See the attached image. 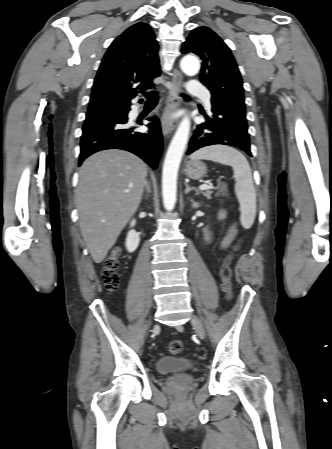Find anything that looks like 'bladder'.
Masks as SVG:
<instances>
[{
  "instance_id": "31cf9c89",
  "label": "bladder",
  "mask_w": 332,
  "mask_h": 449,
  "mask_svg": "<svg viewBox=\"0 0 332 449\" xmlns=\"http://www.w3.org/2000/svg\"><path fill=\"white\" fill-rule=\"evenodd\" d=\"M155 369L161 375L186 371L193 372L197 370V363L192 358L161 356L155 362Z\"/></svg>"
}]
</instances>
